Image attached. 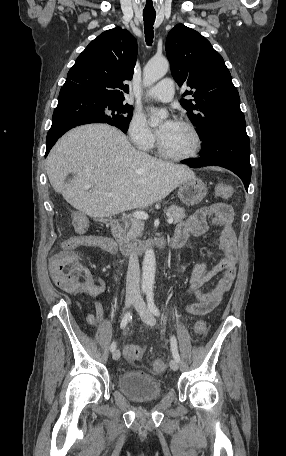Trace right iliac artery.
Returning <instances> with one entry per match:
<instances>
[{
	"label": "right iliac artery",
	"instance_id": "obj_1",
	"mask_svg": "<svg viewBox=\"0 0 286 456\" xmlns=\"http://www.w3.org/2000/svg\"><path fill=\"white\" fill-rule=\"evenodd\" d=\"M131 319H132V314H131V312H127V313L124 315V317H123V319H122V321H121V323H120V328H121V329H124V328L127 326L128 322H129ZM110 350H111V352H114V351L116 350V342H112V344H111V346H110Z\"/></svg>",
	"mask_w": 286,
	"mask_h": 456
}]
</instances>
